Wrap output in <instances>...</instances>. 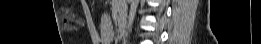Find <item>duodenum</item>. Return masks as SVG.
<instances>
[{"mask_svg":"<svg viewBox=\"0 0 261 44\" xmlns=\"http://www.w3.org/2000/svg\"><path fill=\"white\" fill-rule=\"evenodd\" d=\"M117 21H118L120 33L122 35H125L126 31H127V23H126V14H125V11L123 9H120V11L118 12Z\"/></svg>","mask_w":261,"mask_h":44,"instance_id":"obj_1","label":"duodenum"}]
</instances>
